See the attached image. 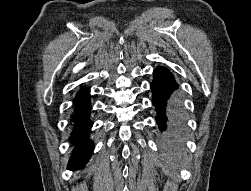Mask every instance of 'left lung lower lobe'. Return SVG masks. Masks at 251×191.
Returning <instances> with one entry per match:
<instances>
[{
  "label": "left lung lower lobe",
  "mask_w": 251,
  "mask_h": 191,
  "mask_svg": "<svg viewBox=\"0 0 251 191\" xmlns=\"http://www.w3.org/2000/svg\"><path fill=\"white\" fill-rule=\"evenodd\" d=\"M151 83L152 103L157 113L156 122L164 134L163 145L167 153H174L180 146L178 129L183 122L179 85L165 67H157Z\"/></svg>",
  "instance_id": "0a47b994"
}]
</instances>
